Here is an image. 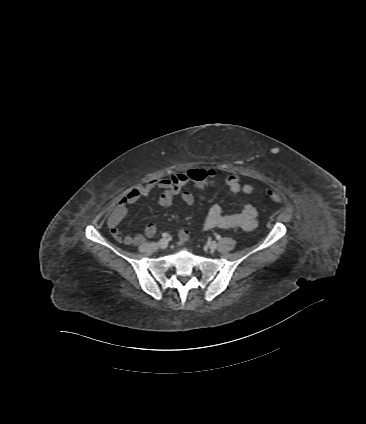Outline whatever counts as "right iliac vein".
<instances>
[{
  "label": "right iliac vein",
  "mask_w": 366,
  "mask_h": 424,
  "mask_svg": "<svg viewBox=\"0 0 366 424\" xmlns=\"http://www.w3.org/2000/svg\"><path fill=\"white\" fill-rule=\"evenodd\" d=\"M158 245L160 248L164 249L168 246V240L165 238L160 239V241L158 242Z\"/></svg>",
  "instance_id": "63e3f726"
}]
</instances>
